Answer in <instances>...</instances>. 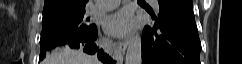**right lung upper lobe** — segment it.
<instances>
[{
  "label": "right lung upper lobe",
  "instance_id": "right-lung-upper-lobe-1",
  "mask_svg": "<svg viewBox=\"0 0 242 64\" xmlns=\"http://www.w3.org/2000/svg\"><path fill=\"white\" fill-rule=\"evenodd\" d=\"M88 0H45L43 13L85 7Z\"/></svg>",
  "mask_w": 242,
  "mask_h": 64
}]
</instances>
